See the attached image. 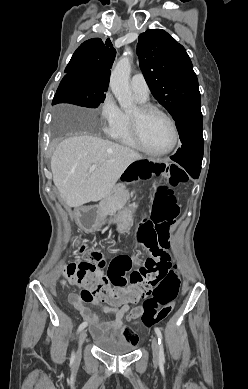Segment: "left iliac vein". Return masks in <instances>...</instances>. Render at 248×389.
<instances>
[{"instance_id": "left-iliac-vein-1", "label": "left iliac vein", "mask_w": 248, "mask_h": 389, "mask_svg": "<svg viewBox=\"0 0 248 389\" xmlns=\"http://www.w3.org/2000/svg\"><path fill=\"white\" fill-rule=\"evenodd\" d=\"M151 344H152V351H153V359L155 362H158L160 349H159V345H158V341H157L156 337H154V336L152 337Z\"/></svg>"}]
</instances>
